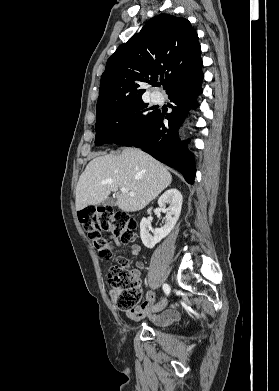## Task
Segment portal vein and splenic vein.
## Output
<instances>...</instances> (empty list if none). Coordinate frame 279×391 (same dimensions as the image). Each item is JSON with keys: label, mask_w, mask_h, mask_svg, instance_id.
<instances>
[{"label": "portal vein and splenic vein", "mask_w": 279, "mask_h": 391, "mask_svg": "<svg viewBox=\"0 0 279 391\" xmlns=\"http://www.w3.org/2000/svg\"><path fill=\"white\" fill-rule=\"evenodd\" d=\"M121 192H122V193H127V194H129L130 196H134V195H135L134 192H129V190L126 189V188H121Z\"/></svg>", "instance_id": "18ae733b"}]
</instances>
